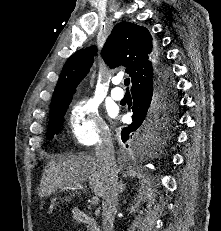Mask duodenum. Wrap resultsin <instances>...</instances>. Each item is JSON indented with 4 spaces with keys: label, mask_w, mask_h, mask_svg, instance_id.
<instances>
[{
    "label": "duodenum",
    "mask_w": 221,
    "mask_h": 231,
    "mask_svg": "<svg viewBox=\"0 0 221 231\" xmlns=\"http://www.w3.org/2000/svg\"><path fill=\"white\" fill-rule=\"evenodd\" d=\"M74 217L77 222L90 225L94 231H101L98 219L92 215L87 214L83 210L75 209Z\"/></svg>",
    "instance_id": "duodenum-1"
}]
</instances>
